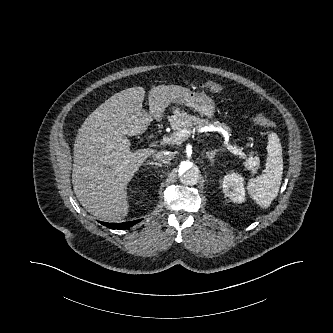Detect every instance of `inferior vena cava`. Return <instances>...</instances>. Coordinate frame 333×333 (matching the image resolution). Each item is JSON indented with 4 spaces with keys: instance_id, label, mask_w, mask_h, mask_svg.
I'll return each mask as SVG.
<instances>
[{
    "instance_id": "obj_1",
    "label": "inferior vena cava",
    "mask_w": 333,
    "mask_h": 333,
    "mask_svg": "<svg viewBox=\"0 0 333 333\" xmlns=\"http://www.w3.org/2000/svg\"><path fill=\"white\" fill-rule=\"evenodd\" d=\"M173 157V153L168 151L157 152L153 155V159L161 163H169Z\"/></svg>"
}]
</instances>
